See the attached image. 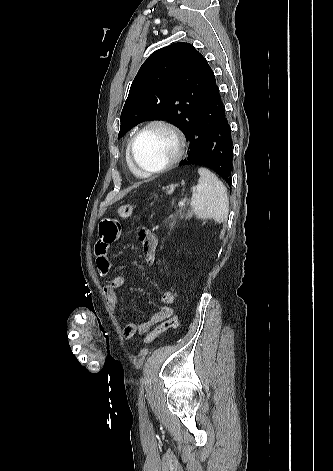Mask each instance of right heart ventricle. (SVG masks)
Listing matches in <instances>:
<instances>
[{
  "instance_id": "right-heart-ventricle-1",
  "label": "right heart ventricle",
  "mask_w": 333,
  "mask_h": 471,
  "mask_svg": "<svg viewBox=\"0 0 333 471\" xmlns=\"http://www.w3.org/2000/svg\"><path fill=\"white\" fill-rule=\"evenodd\" d=\"M127 163H128V166H129L130 170H131L135 175H137V176H139V177H145L144 175L140 174L138 171H136V170L132 167V165L130 164V162H129V160H128V157H127Z\"/></svg>"
}]
</instances>
